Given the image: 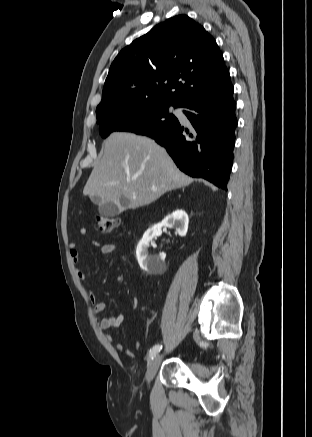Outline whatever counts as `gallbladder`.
Segmentation results:
<instances>
[{
  "instance_id": "1",
  "label": "gallbladder",
  "mask_w": 312,
  "mask_h": 437,
  "mask_svg": "<svg viewBox=\"0 0 312 437\" xmlns=\"http://www.w3.org/2000/svg\"><path fill=\"white\" fill-rule=\"evenodd\" d=\"M91 201L98 204V211L100 215L104 217H115L118 216L122 212V207H126L128 205V201L124 198L121 199V204H117L112 201H102L98 196H92Z\"/></svg>"
}]
</instances>
